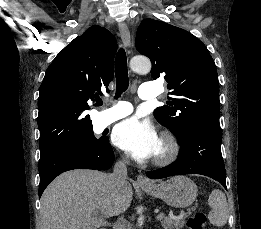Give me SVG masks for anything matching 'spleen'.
<instances>
[{
	"label": "spleen",
	"mask_w": 261,
	"mask_h": 229,
	"mask_svg": "<svg viewBox=\"0 0 261 229\" xmlns=\"http://www.w3.org/2000/svg\"><path fill=\"white\" fill-rule=\"evenodd\" d=\"M208 205L211 207L208 215L211 225H215V227L226 225L229 211L224 193L219 191V189H214L208 199Z\"/></svg>",
	"instance_id": "1"
}]
</instances>
